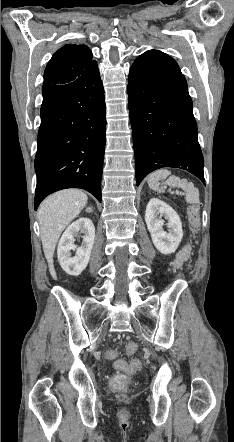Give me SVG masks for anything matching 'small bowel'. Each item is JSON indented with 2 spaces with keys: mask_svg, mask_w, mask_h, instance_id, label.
I'll use <instances>...</instances> for the list:
<instances>
[{
  "mask_svg": "<svg viewBox=\"0 0 234 442\" xmlns=\"http://www.w3.org/2000/svg\"><path fill=\"white\" fill-rule=\"evenodd\" d=\"M187 256H188V251H187V249H184L183 251H181V252L177 255V257H176V259H175V261H174V263H173V267H174V268H178V267H180V266L184 263V261H186Z\"/></svg>",
  "mask_w": 234,
  "mask_h": 442,
  "instance_id": "1",
  "label": "small bowel"
}]
</instances>
